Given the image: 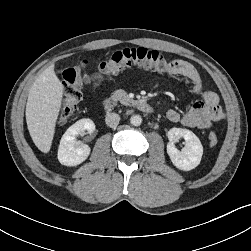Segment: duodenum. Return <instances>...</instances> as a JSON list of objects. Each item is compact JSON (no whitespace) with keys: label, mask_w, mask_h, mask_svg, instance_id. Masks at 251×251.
I'll return each instance as SVG.
<instances>
[{"label":"duodenum","mask_w":251,"mask_h":251,"mask_svg":"<svg viewBox=\"0 0 251 251\" xmlns=\"http://www.w3.org/2000/svg\"><path fill=\"white\" fill-rule=\"evenodd\" d=\"M117 104H118L117 100L112 98L105 99L102 102L103 109L107 112L113 111L116 108ZM132 106L144 113L150 114L153 112V107L149 103L141 99L134 100L132 102Z\"/></svg>","instance_id":"duodenum-1"}]
</instances>
